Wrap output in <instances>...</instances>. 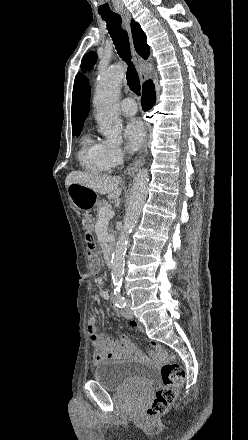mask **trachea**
Returning <instances> with one entry per match:
<instances>
[{
  "label": "trachea",
  "mask_w": 248,
  "mask_h": 440,
  "mask_svg": "<svg viewBox=\"0 0 248 440\" xmlns=\"http://www.w3.org/2000/svg\"><path fill=\"white\" fill-rule=\"evenodd\" d=\"M102 19L107 23V30L113 40L117 53L123 61L127 62L128 68L126 72L127 84L131 91L140 95V81L135 66L131 62L130 44L127 31L121 26V16L113 13L109 15H101Z\"/></svg>",
  "instance_id": "3493384b"
}]
</instances>
